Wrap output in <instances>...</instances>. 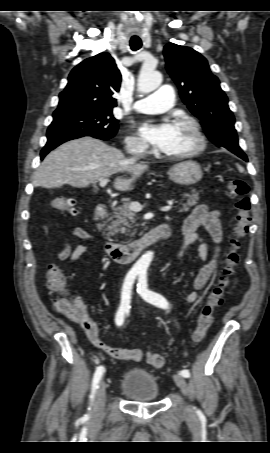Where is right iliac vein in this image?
I'll return each mask as SVG.
<instances>
[{
  "mask_svg": "<svg viewBox=\"0 0 270 453\" xmlns=\"http://www.w3.org/2000/svg\"><path fill=\"white\" fill-rule=\"evenodd\" d=\"M106 401V383L101 380L97 390V399L94 407V413L100 417L103 414Z\"/></svg>",
  "mask_w": 270,
  "mask_h": 453,
  "instance_id": "right-iliac-vein-1",
  "label": "right iliac vein"
}]
</instances>
